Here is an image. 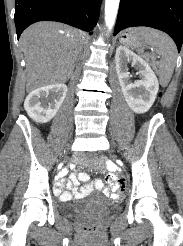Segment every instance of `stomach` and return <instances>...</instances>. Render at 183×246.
<instances>
[{
    "label": "stomach",
    "instance_id": "obj_1",
    "mask_svg": "<svg viewBox=\"0 0 183 246\" xmlns=\"http://www.w3.org/2000/svg\"><path fill=\"white\" fill-rule=\"evenodd\" d=\"M144 28H132L123 32L120 36V41L131 47H142L146 42L142 39L141 33Z\"/></svg>",
    "mask_w": 183,
    "mask_h": 246
}]
</instances>
